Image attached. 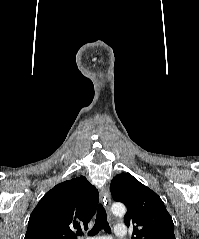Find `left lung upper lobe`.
I'll use <instances>...</instances> for the list:
<instances>
[{"label": "left lung upper lobe", "instance_id": "left-lung-upper-lobe-1", "mask_svg": "<svg viewBox=\"0 0 199 239\" xmlns=\"http://www.w3.org/2000/svg\"><path fill=\"white\" fill-rule=\"evenodd\" d=\"M112 197L127 206L125 224L133 225L132 239H175L172 217L160 197L130 173L111 181Z\"/></svg>", "mask_w": 199, "mask_h": 239}]
</instances>
